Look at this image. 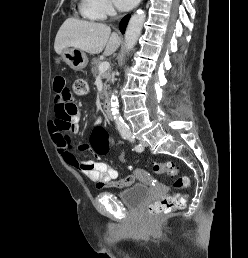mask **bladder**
<instances>
[{"mask_svg": "<svg viewBox=\"0 0 248 258\" xmlns=\"http://www.w3.org/2000/svg\"><path fill=\"white\" fill-rule=\"evenodd\" d=\"M149 195V188L145 184H134L117 194L118 199L128 208L137 209Z\"/></svg>", "mask_w": 248, "mask_h": 258, "instance_id": "31cf9c89", "label": "bladder"}]
</instances>
